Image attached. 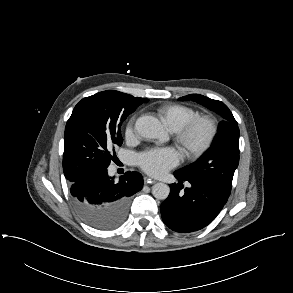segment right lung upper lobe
<instances>
[{"label":"right lung upper lobe","instance_id":"right-lung-upper-lobe-1","mask_svg":"<svg viewBox=\"0 0 293 293\" xmlns=\"http://www.w3.org/2000/svg\"><path fill=\"white\" fill-rule=\"evenodd\" d=\"M103 92L110 93V94L116 95L118 97H126V98H129L134 103L139 104V105H141L142 103H144L146 101L144 98H135V97H133L131 95H128V94H125V93H121V92H118V91L107 90V91H103Z\"/></svg>","mask_w":293,"mask_h":293}]
</instances>
